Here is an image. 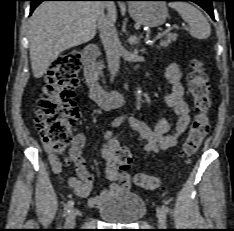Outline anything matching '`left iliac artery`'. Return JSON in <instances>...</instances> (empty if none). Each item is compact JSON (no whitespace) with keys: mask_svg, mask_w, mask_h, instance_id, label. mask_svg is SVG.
<instances>
[{"mask_svg":"<svg viewBox=\"0 0 234 231\" xmlns=\"http://www.w3.org/2000/svg\"><path fill=\"white\" fill-rule=\"evenodd\" d=\"M162 210L165 212V213H168L169 212V208H168V206H166V205H162Z\"/></svg>","mask_w":234,"mask_h":231,"instance_id":"1","label":"left iliac artery"}]
</instances>
